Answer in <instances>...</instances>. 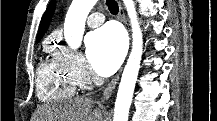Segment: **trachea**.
<instances>
[{"label":"trachea","mask_w":217,"mask_h":121,"mask_svg":"<svg viewBox=\"0 0 217 121\" xmlns=\"http://www.w3.org/2000/svg\"><path fill=\"white\" fill-rule=\"evenodd\" d=\"M106 5L112 14H117L119 11L118 4L115 0H106Z\"/></svg>","instance_id":"obj_1"}]
</instances>
